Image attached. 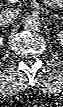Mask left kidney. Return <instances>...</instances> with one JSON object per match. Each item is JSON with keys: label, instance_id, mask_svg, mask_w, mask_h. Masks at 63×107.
I'll use <instances>...</instances> for the list:
<instances>
[{"label": "left kidney", "instance_id": "5707ae66", "mask_svg": "<svg viewBox=\"0 0 63 107\" xmlns=\"http://www.w3.org/2000/svg\"><path fill=\"white\" fill-rule=\"evenodd\" d=\"M58 41H59V43H60L61 45H63V33H62V32H60V33L58 34Z\"/></svg>", "mask_w": 63, "mask_h": 107}]
</instances>
